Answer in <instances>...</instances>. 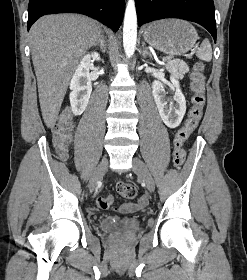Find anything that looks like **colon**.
<instances>
[{
	"instance_id": "1",
	"label": "colon",
	"mask_w": 247,
	"mask_h": 280,
	"mask_svg": "<svg viewBox=\"0 0 247 280\" xmlns=\"http://www.w3.org/2000/svg\"><path fill=\"white\" fill-rule=\"evenodd\" d=\"M190 87L193 92L192 107L183 127L175 134L173 140V162L176 167H181L186 159L184 143L196 129L203 114L205 105V75L204 65L198 62L194 65L190 77ZM54 144L61 156L66 154L68 145L72 141V115L69 110H64L53 126ZM117 192L124 198L133 199L137 195V188L130 183H119ZM103 205L104 202L102 201Z\"/></svg>"
}]
</instances>
